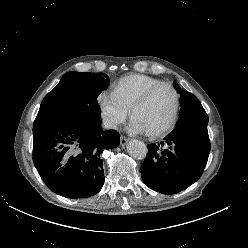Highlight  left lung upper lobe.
Masks as SVG:
<instances>
[{
	"instance_id": "1",
	"label": "left lung upper lobe",
	"mask_w": 248,
	"mask_h": 248,
	"mask_svg": "<svg viewBox=\"0 0 248 248\" xmlns=\"http://www.w3.org/2000/svg\"><path fill=\"white\" fill-rule=\"evenodd\" d=\"M174 88L180 93L181 110L177 126L208 123V116L199 100L190 92L181 90L174 82Z\"/></svg>"
}]
</instances>
